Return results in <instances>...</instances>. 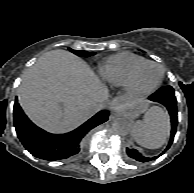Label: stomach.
I'll return each mask as SVG.
<instances>
[{
	"label": "stomach",
	"instance_id": "stomach-1",
	"mask_svg": "<svg viewBox=\"0 0 194 193\" xmlns=\"http://www.w3.org/2000/svg\"><path fill=\"white\" fill-rule=\"evenodd\" d=\"M122 113L129 117H137L147 109V103L143 99L132 100L130 103L122 102L120 105Z\"/></svg>",
	"mask_w": 194,
	"mask_h": 193
}]
</instances>
